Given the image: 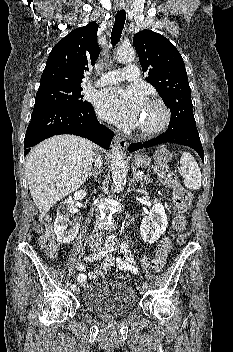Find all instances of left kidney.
I'll list each match as a JSON object with an SVG mask.
<instances>
[{"label": "left kidney", "mask_w": 233, "mask_h": 352, "mask_svg": "<svg viewBox=\"0 0 233 352\" xmlns=\"http://www.w3.org/2000/svg\"><path fill=\"white\" fill-rule=\"evenodd\" d=\"M168 226L167 216L164 206L155 203L149 214L142 220L140 233L146 243L156 242L165 233Z\"/></svg>", "instance_id": "5707ae66"}]
</instances>
